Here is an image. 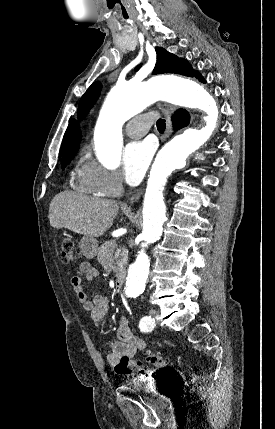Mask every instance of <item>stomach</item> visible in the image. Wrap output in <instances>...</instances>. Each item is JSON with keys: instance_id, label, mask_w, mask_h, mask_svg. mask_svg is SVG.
I'll list each match as a JSON object with an SVG mask.
<instances>
[{"instance_id": "obj_1", "label": "stomach", "mask_w": 275, "mask_h": 429, "mask_svg": "<svg viewBox=\"0 0 275 429\" xmlns=\"http://www.w3.org/2000/svg\"><path fill=\"white\" fill-rule=\"evenodd\" d=\"M79 247L85 257L92 259L97 252L98 242L95 238L84 236L80 240Z\"/></svg>"}]
</instances>
